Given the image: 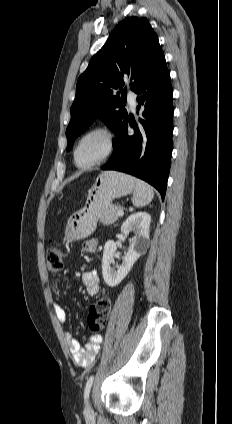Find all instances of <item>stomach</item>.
<instances>
[{"instance_id":"0dacf381","label":"stomach","mask_w":232,"mask_h":424,"mask_svg":"<svg viewBox=\"0 0 232 424\" xmlns=\"http://www.w3.org/2000/svg\"><path fill=\"white\" fill-rule=\"evenodd\" d=\"M134 188L135 179L129 175L116 171L101 173L89 189L82 213L68 223L64 241H77L91 235L100 215L112 205V201L132 193Z\"/></svg>"}]
</instances>
